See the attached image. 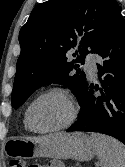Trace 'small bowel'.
Wrapping results in <instances>:
<instances>
[{
	"label": "small bowel",
	"mask_w": 125,
	"mask_h": 167,
	"mask_svg": "<svg viewBox=\"0 0 125 167\" xmlns=\"http://www.w3.org/2000/svg\"><path fill=\"white\" fill-rule=\"evenodd\" d=\"M57 163L58 162H56V161H50L45 166H40V167H58Z\"/></svg>",
	"instance_id": "obj_1"
}]
</instances>
